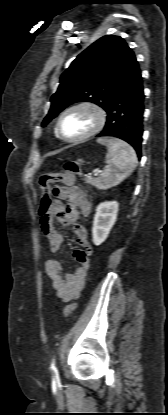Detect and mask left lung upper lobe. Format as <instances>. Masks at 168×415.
I'll list each match as a JSON object with an SVG mask.
<instances>
[{"label":"left lung upper lobe","instance_id":"obj_1","mask_svg":"<svg viewBox=\"0 0 168 415\" xmlns=\"http://www.w3.org/2000/svg\"><path fill=\"white\" fill-rule=\"evenodd\" d=\"M137 66L133 51L121 37L106 35L98 39L62 74L42 125L75 102L88 101L106 109Z\"/></svg>","mask_w":168,"mask_h":415}]
</instances>
